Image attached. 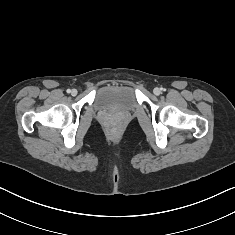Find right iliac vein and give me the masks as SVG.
Returning a JSON list of instances; mask_svg holds the SVG:
<instances>
[{
  "label": "right iliac vein",
  "instance_id": "63e3f726",
  "mask_svg": "<svg viewBox=\"0 0 235 235\" xmlns=\"http://www.w3.org/2000/svg\"><path fill=\"white\" fill-rule=\"evenodd\" d=\"M77 90L76 89H73L72 91H71V94H72V96H76L77 95Z\"/></svg>",
  "mask_w": 235,
  "mask_h": 235
}]
</instances>
